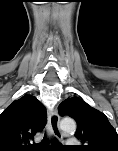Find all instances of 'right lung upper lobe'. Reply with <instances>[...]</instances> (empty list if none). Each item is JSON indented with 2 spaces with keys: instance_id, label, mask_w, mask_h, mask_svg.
I'll list each match as a JSON object with an SVG mask.
<instances>
[{
  "instance_id": "1",
  "label": "right lung upper lobe",
  "mask_w": 118,
  "mask_h": 151,
  "mask_svg": "<svg viewBox=\"0 0 118 151\" xmlns=\"http://www.w3.org/2000/svg\"><path fill=\"white\" fill-rule=\"evenodd\" d=\"M45 107L32 95L12 102L0 115V151H27L47 120Z\"/></svg>"
}]
</instances>
